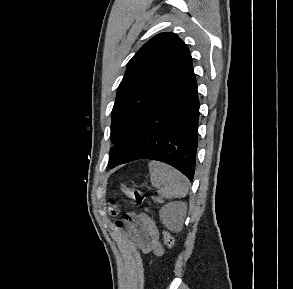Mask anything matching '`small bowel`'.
<instances>
[{
	"label": "small bowel",
	"instance_id": "obj_1",
	"mask_svg": "<svg viewBox=\"0 0 293 289\" xmlns=\"http://www.w3.org/2000/svg\"><path fill=\"white\" fill-rule=\"evenodd\" d=\"M116 224L142 253L154 256L163 255L159 230L146 212H130Z\"/></svg>",
	"mask_w": 293,
	"mask_h": 289
}]
</instances>
